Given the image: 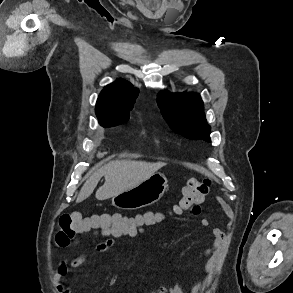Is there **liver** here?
Segmentation results:
<instances>
[{
	"label": "liver",
	"mask_w": 293,
	"mask_h": 293,
	"mask_svg": "<svg viewBox=\"0 0 293 293\" xmlns=\"http://www.w3.org/2000/svg\"><path fill=\"white\" fill-rule=\"evenodd\" d=\"M164 163H147L141 161H112L91 174L82 186L76 202L88 198L102 176L104 184L96 191L97 200H106L129 190L155 174Z\"/></svg>",
	"instance_id": "liver-1"
}]
</instances>
